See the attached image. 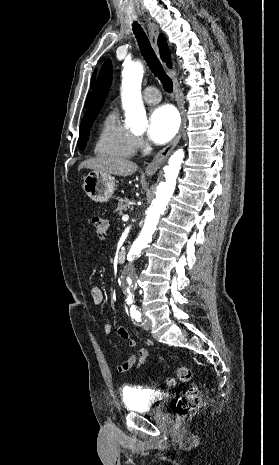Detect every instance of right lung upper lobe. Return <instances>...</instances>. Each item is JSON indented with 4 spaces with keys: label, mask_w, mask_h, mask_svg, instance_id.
Returning <instances> with one entry per match:
<instances>
[{
    "label": "right lung upper lobe",
    "mask_w": 279,
    "mask_h": 465,
    "mask_svg": "<svg viewBox=\"0 0 279 465\" xmlns=\"http://www.w3.org/2000/svg\"><path fill=\"white\" fill-rule=\"evenodd\" d=\"M158 45L160 47L161 58L165 62H167L168 67H171L172 64L170 62V51L167 46L166 40L162 34H160L158 39ZM112 82V64L109 59H107L99 73L95 89L93 91L92 97L90 99V103L88 109L84 115L82 123L80 125V129L85 128L93 123L95 118L97 117L99 111L102 108V105L105 102V98L109 92V88Z\"/></svg>",
    "instance_id": "cb5924a9"
}]
</instances>
